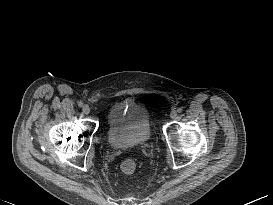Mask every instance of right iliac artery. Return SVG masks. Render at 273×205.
<instances>
[{"label": "right iliac artery", "instance_id": "1", "mask_svg": "<svg viewBox=\"0 0 273 205\" xmlns=\"http://www.w3.org/2000/svg\"><path fill=\"white\" fill-rule=\"evenodd\" d=\"M78 106L79 107H82L83 106V103L81 101L78 102Z\"/></svg>", "mask_w": 273, "mask_h": 205}]
</instances>
